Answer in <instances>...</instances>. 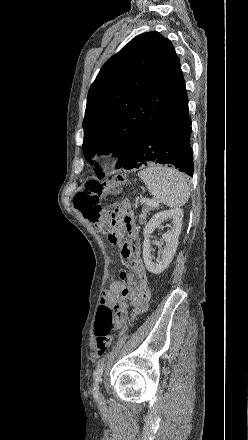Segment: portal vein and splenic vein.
Returning a JSON list of instances; mask_svg holds the SVG:
<instances>
[{
  "label": "portal vein and splenic vein",
  "mask_w": 248,
  "mask_h": 440,
  "mask_svg": "<svg viewBox=\"0 0 248 440\" xmlns=\"http://www.w3.org/2000/svg\"><path fill=\"white\" fill-rule=\"evenodd\" d=\"M146 204H148V205H153V206H158L157 202H155V201H153V200H150V199H147V200H146Z\"/></svg>",
  "instance_id": "obj_1"
}]
</instances>
